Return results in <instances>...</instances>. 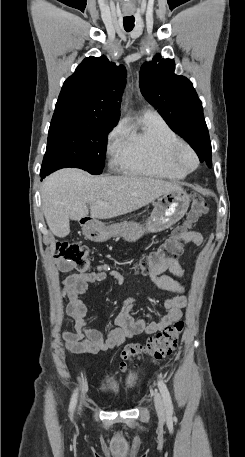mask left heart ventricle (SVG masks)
Instances as JSON below:
<instances>
[{"instance_id": "left-heart-ventricle-1", "label": "left heart ventricle", "mask_w": 245, "mask_h": 457, "mask_svg": "<svg viewBox=\"0 0 245 457\" xmlns=\"http://www.w3.org/2000/svg\"><path fill=\"white\" fill-rule=\"evenodd\" d=\"M178 159L181 163H183L184 165H186L188 167L192 165V160L186 153H180L178 155Z\"/></svg>"}]
</instances>
